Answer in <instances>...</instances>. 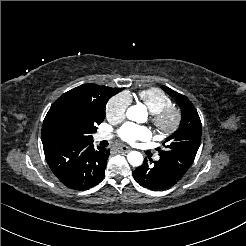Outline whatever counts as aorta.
Returning a JSON list of instances; mask_svg holds the SVG:
<instances>
[{"instance_id": "obj_1", "label": "aorta", "mask_w": 246, "mask_h": 246, "mask_svg": "<svg viewBox=\"0 0 246 246\" xmlns=\"http://www.w3.org/2000/svg\"><path fill=\"white\" fill-rule=\"evenodd\" d=\"M126 116L129 120L142 123L147 119L146 107L141 104L131 106L127 109ZM127 159L132 166L138 167L143 163V156L138 151H131L127 155Z\"/></svg>"}]
</instances>
